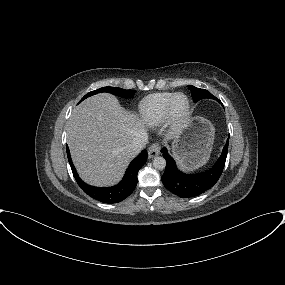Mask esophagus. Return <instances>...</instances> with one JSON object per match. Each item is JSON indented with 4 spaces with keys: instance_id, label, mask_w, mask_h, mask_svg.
<instances>
[{
    "instance_id": "obj_1",
    "label": "esophagus",
    "mask_w": 285,
    "mask_h": 285,
    "mask_svg": "<svg viewBox=\"0 0 285 285\" xmlns=\"http://www.w3.org/2000/svg\"><path fill=\"white\" fill-rule=\"evenodd\" d=\"M160 153V145L159 143H153L148 149V156L149 158L156 157Z\"/></svg>"
}]
</instances>
